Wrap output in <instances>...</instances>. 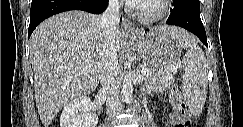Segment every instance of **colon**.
I'll return each instance as SVG.
<instances>
[{"label": "colon", "instance_id": "colon-1", "mask_svg": "<svg viewBox=\"0 0 243 127\" xmlns=\"http://www.w3.org/2000/svg\"><path fill=\"white\" fill-rule=\"evenodd\" d=\"M169 99L172 110L169 114V126L172 127H189L191 125V117L185 103L183 102L181 93L177 85H173L169 92Z\"/></svg>", "mask_w": 243, "mask_h": 127}]
</instances>
